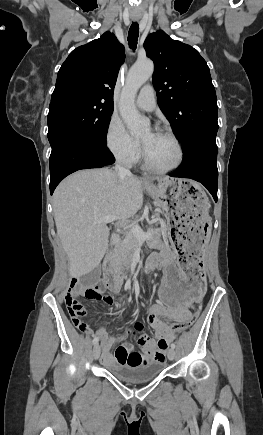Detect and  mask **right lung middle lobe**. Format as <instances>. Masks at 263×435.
Listing matches in <instances>:
<instances>
[{"label": "right lung middle lobe", "mask_w": 263, "mask_h": 435, "mask_svg": "<svg viewBox=\"0 0 263 435\" xmlns=\"http://www.w3.org/2000/svg\"><path fill=\"white\" fill-rule=\"evenodd\" d=\"M113 104L76 100L49 107L48 140L52 149L64 137H79L99 145L106 144Z\"/></svg>", "instance_id": "dd1d6c3e"}]
</instances>
